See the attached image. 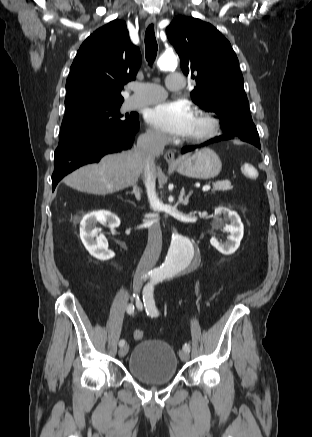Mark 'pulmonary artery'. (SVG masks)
Here are the masks:
<instances>
[{"mask_svg":"<svg viewBox=\"0 0 312 437\" xmlns=\"http://www.w3.org/2000/svg\"><path fill=\"white\" fill-rule=\"evenodd\" d=\"M185 79L180 73L170 74L166 78V87L169 90H180L185 86ZM134 94L128 102L131 109L150 105L163 100L166 97V90L157 84L139 83L133 86Z\"/></svg>","mask_w":312,"mask_h":437,"instance_id":"pulmonary-artery-1","label":"pulmonary artery"}]
</instances>
